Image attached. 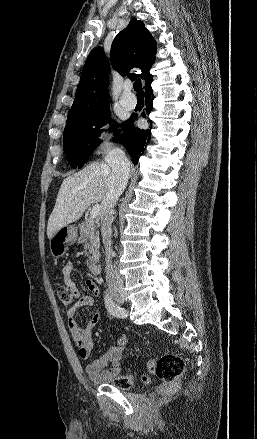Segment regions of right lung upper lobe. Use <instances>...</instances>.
<instances>
[{"label": "right lung upper lobe", "mask_w": 257, "mask_h": 439, "mask_svg": "<svg viewBox=\"0 0 257 439\" xmlns=\"http://www.w3.org/2000/svg\"><path fill=\"white\" fill-rule=\"evenodd\" d=\"M156 42L142 21L132 19L129 25L113 40L111 46V63L122 76L141 77L146 83L153 78L149 70L155 61ZM138 67L141 74H129ZM108 60L102 47L94 48L83 67L75 99L69 112L67 122L89 115L109 106Z\"/></svg>", "instance_id": "obj_1"}]
</instances>
